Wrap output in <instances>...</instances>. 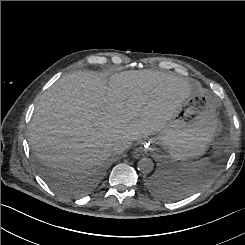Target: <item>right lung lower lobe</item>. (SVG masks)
<instances>
[{"label":"right lung lower lobe","instance_id":"98d812e1","mask_svg":"<svg viewBox=\"0 0 245 245\" xmlns=\"http://www.w3.org/2000/svg\"><path fill=\"white\" fill-rule=\"evenodd\" d=\"M50 185L58 192L65 195H73L74 192L59 176H52L48 178Z\"/></svg>","mask_w":245,"mask_h":245}]
</instances>
